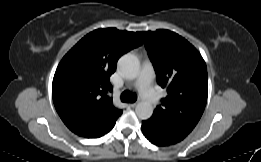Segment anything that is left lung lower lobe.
I'll return each instance as SVG.
<instances>
[{
	"label": "left lung lower lobe",
	"instance_id": "0a47b994",
	"mask_svg": "<svg viewBox=\"0 0 261 162\" xmlns=\"http://www.w3.org/2000/svg\"><path fill=\"white\" fill-rule=\"evenodd\" d=\"M144 136L157 146H168L182 141L190 132L180 127L164 122L152 115L142 122Z\"/></svg>",
	"mask_w": 261,
	"mask_h": 162
}]
</instances>
